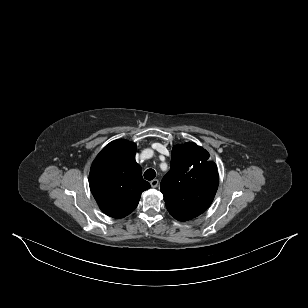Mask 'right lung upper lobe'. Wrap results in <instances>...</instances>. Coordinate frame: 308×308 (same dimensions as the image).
Here are the masks:
<instances>
[{
  "label": "right lung upper lobe",
  "mask_w": 308,
  "mask_h": 308,
  "mask_svg": "<svg viewBox=\"0 0 308 308\" xmlns=\"http://www.w3.org/2000/svg\"><path fill=\"white\" fill-rule=\"evenodd\" d=\"M136 144L124 139L109 143L94 160L89 185L100 209L110 217L123 218L138 205L150 188L135 161Z\"/></svg>",
  "instance_id": "cb5924a9"
}]
</instances>
